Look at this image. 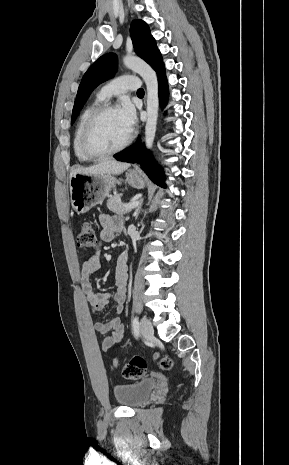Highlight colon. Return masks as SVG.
I'll return each instance as SVG.
<instances>
[{
    "label": "colon",
    "instance_id": "obj_1",
    "mask_svg": "<svg viewBox=\"0 0 289 465\" xmlns=\"http://www.w3.org/2000/svg\"><path fill=\"white\" fill-rule=\"evenodd\" d=\"M77 245L84 250H92L97 247L95 229L91 222L86 221L82 223L77 236ZM158 364L164 370L172 367V361L167 357H158ZM115 365H118L117 360L115 361ZM145 373L146 362L140 357L132 358L122 369L123 376L133 380L143 378Z\"/></svg>",
    "mask_w": 289,
    "mask_h": 465
}]
</instances>
